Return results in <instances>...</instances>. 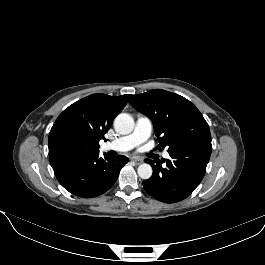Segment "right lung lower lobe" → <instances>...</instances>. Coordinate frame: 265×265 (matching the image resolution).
<instances>
[{"mask_svg": "<svg viewBox=\"0 0 265 265\" xmlns=\"http://www.w3.org/2000/svg\"><path fill=\"white\" fill-rule=\"evenodd\" d=\"M128 162L123 155L104 158L99 151L71 152L50 157L60 184L70 193L84 198L96 197L109 190Z\"/></svg>", "mask_w": 265, "mask_h": 265, "instance_id": "98d812e1", "label": "right lung lower lobe"}]
</instances>
